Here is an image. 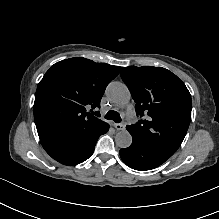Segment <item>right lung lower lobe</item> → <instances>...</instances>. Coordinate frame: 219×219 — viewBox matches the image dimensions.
Segmentation results:
<instances>
[{
	"mask_svg": "<svg viewBox=\"0 0 219 219\" xmlns=\"http://www.w3.org/2000/svg\"><path fill=\"white\" fill-rule=\"evenodd\" d=\"M108 129L109 125L105 123L92 134L44 139L40 142L46 152L56 161L64 165H76L84 162L93 154L98 138Z\"/></svg>",
	"mask_w": 219,
	"mask_h": 219,
	"instance_id": "1",
	"label": "right lung lower lobe"
}]
</instances>
